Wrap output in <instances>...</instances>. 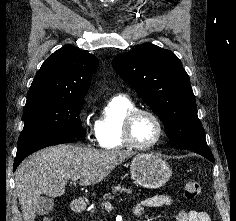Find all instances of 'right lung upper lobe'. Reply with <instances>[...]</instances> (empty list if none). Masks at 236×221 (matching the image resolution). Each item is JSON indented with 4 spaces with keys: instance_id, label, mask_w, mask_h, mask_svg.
I'll list each match as a JSON object with an SVG mask.
<instances>
[{
    "instance_id": "obj_1",
    "label": "right lung upper lobe",
    "mask_w": 236,
    "mask_h": 221,
    "mask_svg": "<svg viewBox=\"0 0 236 221\" xmlns=\"http://www.w3.org/2000/svg\"><path fill=\"white\" fill-rule=\"evenodd\" d=\"M98 63L94 55L67 44L42 64L27 96L84 97Z\"/></svg>"
}]
</instances>
